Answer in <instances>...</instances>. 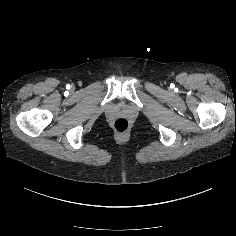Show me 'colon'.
I'll use <instances>...</instances> for the list:
<instances>
[{
  "label": "colon",
  "instance_id": "5ec220e1",
  "mask_svg": "<svg viewBox=\"0 0 236 236\" xmlns=\"http://www.w3.org/2000/svg\"><path fill=\"white\" fill-rule=\"evenodd\" d=\"M113 126L118 133H124L128 130L129 122L124 118H119L114 121Z\"/></svg>",
  "mask_w": 236,
  "mask_h": 236
}]
</instances>
